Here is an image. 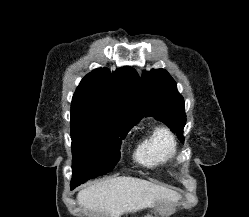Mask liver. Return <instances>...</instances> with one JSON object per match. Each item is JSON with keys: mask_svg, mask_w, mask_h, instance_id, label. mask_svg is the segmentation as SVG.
I'll return each mask as SVG.
<instances>
[{"mask_svg": "<svg viewBox=\"0 0 249 217\" xmlns=\"http://www.w3.org/2000/svg\"><path fill=\"white\" fill-rule=\"evenodd\" d=\"M179 199L180 195L173 190L130 176L94 183L77 195L79 205L103 211L110 217L152 207L158 200L177 202Z\"/></svg>", "mask_w": 249, "mask_h": 217, "instance_id": "1", "label": "liver"}]
</instances>
